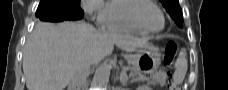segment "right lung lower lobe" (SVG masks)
Listing matches in <instances>:
<instances>
[{
    "mask_svg": "<svg viewBox=\"0 0 228 90\" xmlns=\"http://www.w3.org/2000/svg\"><path fill=\"white\" fill-rule=\"evenodd\" d=\"M83 12L76 17H70L61 11L57 6L50 3H40L36 11V17L42 21L61 22L64 20H79L83 17Z\"/></svg>",
    "mask_w": 228,
    "mask_h": 90,
    "instance_id": "98d812e1",
    "label": "right lung lower lobe"
}]
</instances>
